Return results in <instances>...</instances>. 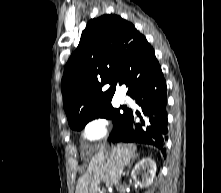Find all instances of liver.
Instances as JSON below:
<instances>
[{
  "label": "liver",
  "instance_id": "6515ba94",
  "mask_svg": "<svg viewBox=\"0 0 221 193\" xmlns=\"http://www.w3.org/2000/svg\"><path fill=\"white\" fill-rule=\"evenodd\" d=\"M135 151L133 144L100 149L91 158L87 172L78 179L75 193H98L101 181L107 186H119V169L130 164Z\"/></svg>",
  "mask_w": 221,
  "mask_h": 193
}]
</instances>
